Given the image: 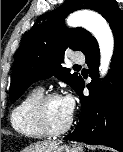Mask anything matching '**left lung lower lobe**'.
<instances>
[{
    "mask_svg": "<svg viewBox=\"0 0 123 152\" xmlns=\"http://www.w3.org/2000/svg\"><path fill=\"white\" fill-rule=\"evenodd\" d=\"M106 20L115 39L111 69L98 79L99 48L95 41L84 53L90 68L89 95H83L81 79L76 93L81 101V117L75 130L64 137L91 145L103 144L123 152V11L111 12Z\"/></svg>",
    "mask_w": 123,
    "mask_h": 152,
    "instance_id": "1",
    "label": "left lung lower lobe"
}]
</instances>
